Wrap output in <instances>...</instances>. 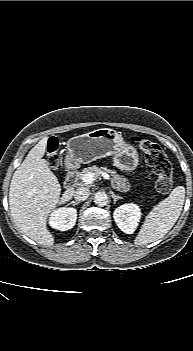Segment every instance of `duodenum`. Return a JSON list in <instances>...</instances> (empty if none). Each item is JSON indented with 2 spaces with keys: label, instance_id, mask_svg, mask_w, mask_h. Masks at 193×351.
<instances>
[{
  "label": "duodenum",
  "instance_id": "duodenum-1",
  "mask_svg": "<svg viewBox=\"0 0 193 351\" xmlns=\"http://www.w3.org/2000/svg\"><path fill=\"white\" fill-rule=\"evenodd\" d=\"M77 165L72 160H67L65 166V188L73 190L76 187L77 182Z\"/></svg>",
  "mask_w": 193,
  "mask_h": 351
}]
</instances>
